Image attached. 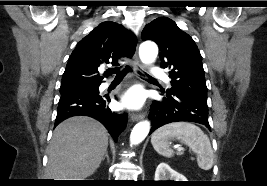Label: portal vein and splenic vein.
<instances>
[{"mask_svg": "<svg viewBox=\"0 0 267 186\" xmlns=\"http://www.w3.org/2000/svg\"><path fill=\"white\" fill-rule=\"evenodd\" d=\"M176 148H177V151H178V152H181V151L183 150V148H182V147H180L179 145H178V146H176Z\"/></svg>", "mask_w": 267, "mask_h": 186, "instance_id": "18ae733b", "label": "portal vein and splenic vein"}]
</instances>
